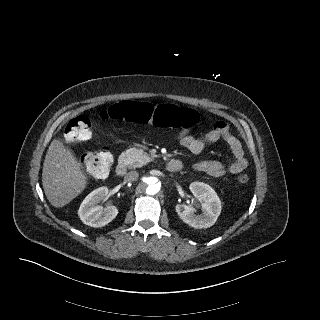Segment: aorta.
Instances as JSON below:
<instances>
[{
  "label": "aorta",
  "instance_id": "aorta-1",
  "mask_svg": "<svg viewBox=\"0 0 320 320\" xmlns=\"http://www.w3.org/2000/svg\"><path fill=\"white\" fill-rule=\"evenodd\" d=\"M142 184L148 195H155L161 189L160 182L156 177H152V176L145 177L144 180L142 181Z\"/></svg>",
  "mask_w": 320,
  "mask_h": 320
}]
</instances>
